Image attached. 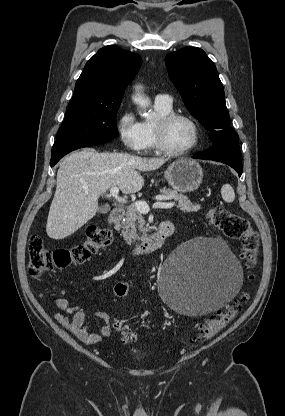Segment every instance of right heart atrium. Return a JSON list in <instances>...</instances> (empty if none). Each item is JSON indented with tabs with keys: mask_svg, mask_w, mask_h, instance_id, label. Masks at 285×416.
Masks as SVG:
<instances>
[{
	"mask_svg": "<svg viewBox=\"0 0 285 416\" xmlns=\"http://www.w3.org/2000/svg\"><path fill=\"white\" fill-rule=\"evenodd\" d=\"M118 133L122 144L136 152L145 149V136L142 129V122L137 117L133 108L123 109L119 114Z\"/></svg>",
	"mask_w": 285,
	"mask_h": 416,
	"instance_id": "1",
	"label": "right heart atrium"
}]
</instances>
